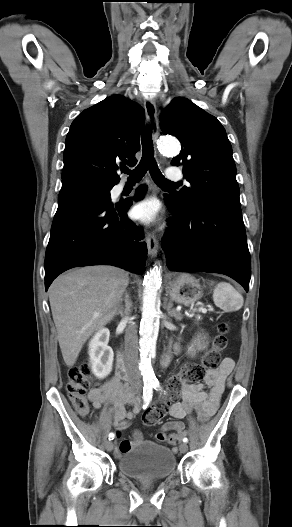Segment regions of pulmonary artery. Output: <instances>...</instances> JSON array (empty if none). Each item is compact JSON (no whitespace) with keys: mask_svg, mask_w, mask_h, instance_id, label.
Listing matches in <instances>:
<instances>
[{"mask_svg":"<svg viewBox=\"0 0 292 527\" xmlns=\"http://www.w3.org/2000/svg\"><path fill=\"white\" fill-rule=\"evenodd\" d=\"M166 178L171 181H179L183 178V175L178 168L170 167L166 170ZM122 187L123 185H120V188Z\"/></svg>","mask_w":292,"mask_h":527,"instance_id":"1","label":"pulmonary artery"}]
</instances>
